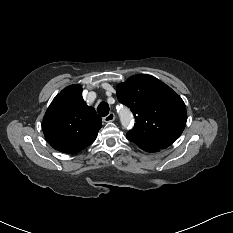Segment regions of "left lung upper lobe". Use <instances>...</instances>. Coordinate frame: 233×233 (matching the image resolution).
Masks as SVG:
<instances>
[{
	"instance_id": "obj_1",
	"label": "left lung upper lobe",
	"mask_w": 233,
	"mask_h": 233,
	"mask_svg": "<svg viewBox=\"0 0 233 233\" xmlns=\"http://www.w3.org/2000/svg\"><path fill=\"white\" fill-rule=\"evenodd\" d=\"M118 100L133 112L136 123L127 139L143 150L170 146L183 132L186 107L170 87L146 74L131 76L117 86Z\"/></svg>"
}]
</instances>
